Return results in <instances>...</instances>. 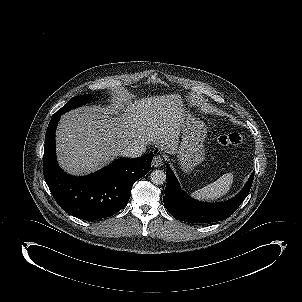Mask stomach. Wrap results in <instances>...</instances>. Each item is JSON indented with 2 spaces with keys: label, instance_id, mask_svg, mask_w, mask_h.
Listing matches in <instances>:
<instances>
[{
  "label": "stomach",
  "instance_id": "1",
  "mask_svg": "<svg viewBox=\"0 0 302 302\" xmlns=\"http://www.w3.org/2000/svg\"><path fill=\"white\" fill-rule=\"evenodd\" d=\"M180 123L182 140L177 149V158L181 169L189 173L205 158L203 142L207 128L204 122L185 112Z\"/></svg>",
  "mask_w": 302,
  "mask_h": 302
}]
</instances>
